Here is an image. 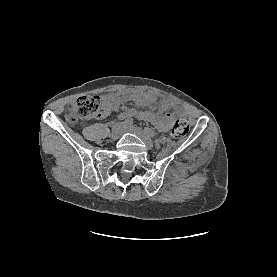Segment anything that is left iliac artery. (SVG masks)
I'll use <instances>...</instances> for the list:
<instances>
[{
    "label": "left iliac artery",
    "instance_id": "left-iliac-artery-1",
    "mask_svg": "<svg viewBox=\"0 0 277 277\" xmlns=\"http://www.w3.org/2000/svg\"><path fill=\"white\" fill-rule=\"evenodd\" d=\"M144 132H145L148 136H150V137H152V138H154V137L156 136L155 131L152 130L151 128L145 127V128H144Z\"/></svg>",
    "mask_w": 277,
    "mask_h": 277
}]
</instances>
